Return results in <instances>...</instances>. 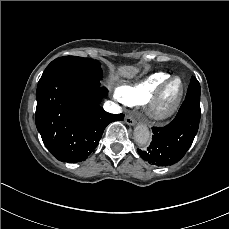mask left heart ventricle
Instances as JSON below:
<instances>
[{"label": "left heart ventricle", "mask_w": 229, "mask_h": 229, "mask_svg": "<svg viewBox=\"0 0 229 229\" xmlns=\"http://www.w3.org/2000/svg\"><path fill=\"white\" fill-rule=\"evenodd\" d=\"M180 91V84L174 83L172 87L166 88L162 94L161 99L158 102V107L162 111H167L171 107V102L176 98Z\"/></svg>", "instance_id": "b2bd125f"}]
</instances>
